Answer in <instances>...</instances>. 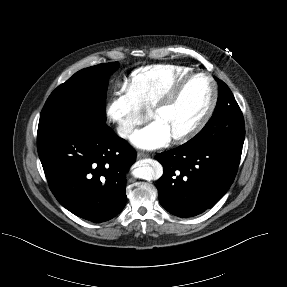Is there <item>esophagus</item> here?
I'll use <instances>...</instances> for the list:
<instances>
[{"label": "esophagus", "mask_w": 287, "mask_h": 287, "mask_svg": "<svg viewBox=\"0 0 287 287\" xmlns=\"http://www.w3.org/2000/svg\"><path fill=\"white\" fill-rule=\"evenodd\" d=\"M147 157H148V155L145 154V153H142V152H138L137 153V158L138 159L147 158Z\"/></svg>", "instance_id": "34e87169"}]
</instances>
